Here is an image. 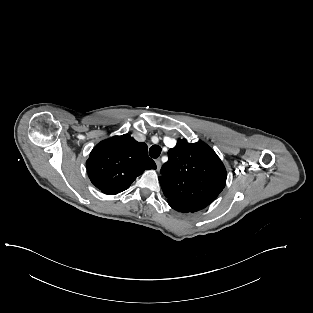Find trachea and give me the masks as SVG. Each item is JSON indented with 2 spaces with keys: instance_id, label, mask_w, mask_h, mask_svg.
I'll use <instances>...</instances> for the list:
<instances>
[{
  "instance_id": "1",
  "label": "trachea",
  "mask_w": 313,
  "mask_h": 313,
  "mask_svg": "<svg viewBox=\"0 0 313 313\" xmlns=\"http://www.w3.org/2000/svg\"><path fill=\"white\" fill-rule=\"evenodd\" d=\"M161 154V147L158 145H153L149 149V155L152 158H158Z\"/></svg>"
}]
</instances>
